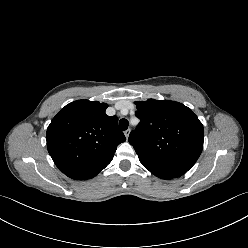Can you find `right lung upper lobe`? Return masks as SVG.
<instances>
[{
	"label": "right lung upper lobe",
	"mask_w": 248,
	"mask_h": 248,
	"mask_svg": "<svg viewBox=\"0 0 248 248\" xmlns=\"http://www.w3.org/2000/svg\"><path fill=\"white\" fill-rule=\"evenodd\" d=\"M107 107L98 101L77 100L62 108L48 126V152L67 176L101 171L126 140L118 118L105 114Z\"/></svg>",
	"instance_id": "obj_1"
}]
</instances>
